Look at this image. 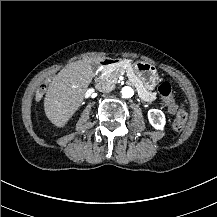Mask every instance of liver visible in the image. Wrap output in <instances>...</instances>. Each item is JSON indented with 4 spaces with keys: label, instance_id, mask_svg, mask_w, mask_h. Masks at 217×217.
Segmentation results:
<instances>
[{
    "label": "liver",
    "instance_id": "1",
    "mask_svg": "<svg viewBox=\"0 0 217 217\" xmlns=\"http://www.w3.org/2000/svg\"><path fill=\"white\" fill-rule=\"evenodd\" d=\"M103 59L98 57L70 63L53 78L45 95L44 110L55 126L63 127L79 108L94 77L91 64H100Z\"/></svg>",
    "mask_w": 217,
    "mask_h": 217
}]
</instances>
